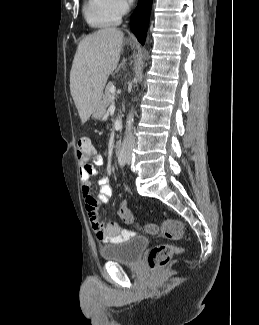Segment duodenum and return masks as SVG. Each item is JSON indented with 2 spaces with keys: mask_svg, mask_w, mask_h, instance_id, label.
Returning <instances> with one entry per match:
<instances>
[{
  "mask_svg": "<svg viewBox=\"0 0 259 325\" xmlns=\"http://www.w3.org/2000/svg\"><path fill=\"white\" fill-rule=\"evenodd\" d=\"M124 146L123 140H117L114 145V151L117 155H119L122 152Z\"/></svg>",
  "mask_w": 259,
  "mask_h": 325,
  "instance_id": "410a0bca",
  "label": "duodenum"
}]
</instances>
